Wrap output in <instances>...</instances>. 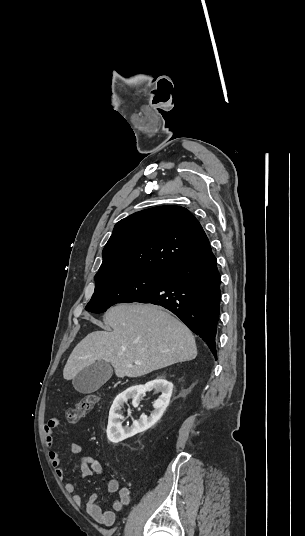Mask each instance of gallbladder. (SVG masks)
<instances>
[{"label":"gallbladder","mask_w":305,"mask_h":536,"mask_svg":"<svg viewBox=\"0 0 305 536\" xmlns=\"http://www.w3.org/2000/svg\"><path fill=\"white\" fill-rule=\"evenodd\" d=\"M113 370L107 362H94L91 366H87L81 370L72 380V384L80 394H92L99 390L103 384L110 380Z\"/></svg>","instance_id":"obj_1"}]
</instances>
